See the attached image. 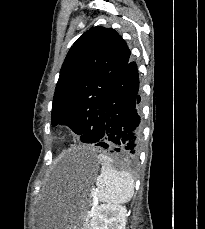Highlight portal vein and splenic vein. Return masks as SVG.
Masks as SVG:
<instances>
[{"mask_svg": "<svg viewBox=\"0 0 205 229\" xmlns=\"http://www.w3.org/2000/svg\"><path fill=\"white\" fill-rule=\"evenodd\" d=\"M97 204H98V200H97V198H94L93 199L92 208H91V210L89 212V216H92L93 215Z\"/></svg>", "mask_w": 205, "mask_h": 229, "instance_id": "18ae733b", "label": "portal vein and splenic vein"}]
</instances>
